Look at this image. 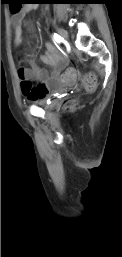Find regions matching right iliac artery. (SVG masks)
I'll list each match as a JSON object with an SVG mask.
<instances>
[{"instance_id":"obj_1","label":"right iliac artery","mask_w":122,"mask_h":257,"mask_svg":"<svg viewBox=\"0 0 122 257\" xmlns=\"http://www.w3.org/2000/svg\"><path fill=\"white\" fill-rule=\"evenodd\" d=\"M53 39L56 43H60L63 39L61 36H59L58 34H54L53 35Z\"/></svg>"}]
</instances>
